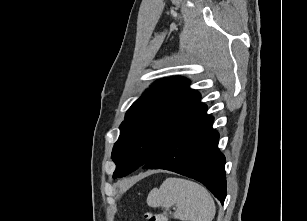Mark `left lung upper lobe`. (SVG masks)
Returning a JSON list of instances; mask_svg holds the SVG:
<instances>
[{"label": "left lung upper lobe", "instance_id": "5c2ea615", "mask_svg": "<svg viewBox=\"0 0 307 221\" xmlns=\"http://www.w3.org/2000/svg\"><path fill=\"white\" fill-rule=\"evenodd\" d=\"M183 77L156 81L135 101L120 125L112 151L113 178L123 177L146 164L164 146L200 121L207 106Z\"/></svg>", "mask_w": 307, "mask_h": 221}]
</instances>
